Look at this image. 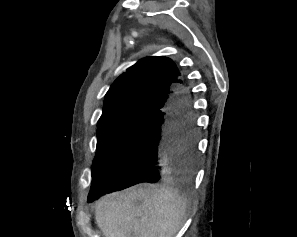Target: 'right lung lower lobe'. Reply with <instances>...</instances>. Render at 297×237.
Wrapping results in <instances>:
<instances>
[{"mask_svg": "<svg viewBox=\"0 0 297 237\" xmlns=\"http://www.w3.org/2000/svg\"><path fill=\"white\" fill-rule=\"evenodd\" d=\"M190 91L174 92L166 108L152 114L130 150L115 183L88 197H98L148 182L158 183L189 175L196 160V125Z\"/></svg>", "mask_w": 297, "mask_h": 237, "instance_id": "98d812e1", "label": "right lung lower lobe"}]
</instances>
